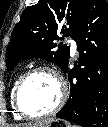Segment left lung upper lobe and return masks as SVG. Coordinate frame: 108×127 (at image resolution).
I'll list each match as a JSON object with an SVG mask.
<instances>
[{
	"mask_svg": "<svg viewBox=\"0 0 108 127\" xmlns=\"http://www.w3.org/2000/svg\"><path fill=\"white\" fill-rule=\"evenodd\" d=\"M87 0H39L26 8L15 26L7 51V69L22 59L42 58L53 62L65 73L69 63V47L55 41L74 37L75 28ZM62 34L60 38L57 34ZM58 47V49H56ZM99 67L92 64L90 79L95 85Z\"/></svg>",
	"mask_w": 108,
	"mask_h": 127,
	"instance_id": "left-lung-upper-lobe-1",
	"label": "left lung upper lobe"
}]
</instances>
